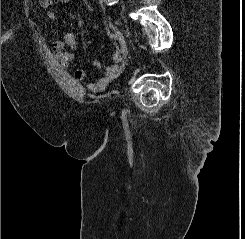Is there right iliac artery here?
Returning <instances> with one entry per match:
<instances>
[{
    "label": "right iliac artery",
    "mask_w": 245,
    "mask_h": 239,
    "mask_svg": "<svg viewBox=\"0 0 245 239\" xmlns=\"http://www.w3.org/2000/svg\"><path fill=\"white\" fill-rule=\"evenodd\" d=\"M108 36L110 37V39H112V41H114V43L118 42L117 36L111 33L110 31H108Z\"/></svg>",
    "instance_id": "right-iliac-artery-1"
}]
</instances>
